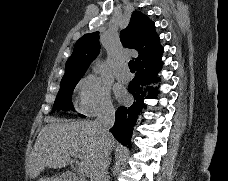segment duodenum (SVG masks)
<instances>
[{
  "label": "duodenum",
  "instance_id": "duodenum-1",
  "mask_svg": "<svg viewBox=\"0 0 228 181\" xmlns=\"http://www.w3.org/2000/svg\"><path fill=\"white\" fill-rule=\"evenodd\" d=\"M75 174H66V178H64V181H74Z\"/></svg>",
  "mask_w": 228,
  "mask_h": 181
}]
</instances>
